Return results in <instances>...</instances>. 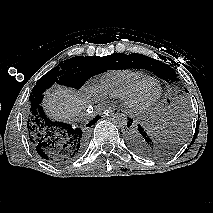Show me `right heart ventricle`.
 Returning <instances> with one entry per match:
<instances>
[{
  "label": "right heart ventricle",
  "mask_w": 213,
  "mask_h": 213,
  "mask_svg": "<svg viewBox=\"0 0 213 213\" xmlns=\"http://www.w3.org/2000/svg\"><path fill=\"white\" fill-rule=\"evenodd\" d=\"M152 79L143 70L122 69L109 71L102 76L98 90L106 97L121 98L129 95L140 85Z\"/></svg>",
  "instance_id": "e07e8e85"
}]
</instances>
